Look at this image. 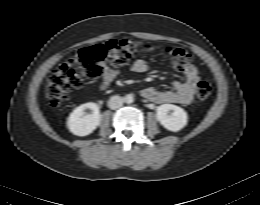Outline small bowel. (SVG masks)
<instances>
[{"instance_id":"obj_1","label":"small bowel","mask_w":260,"mask_h":205,"mask_svg":"<svg viewBox=\"0 0 260 205\" xmlns=\"http://www.w3.org/2000/svg\"><path fill=\"white\" fill-rule=\"evenodd\" d=\"M131 70L135 73H144L148 70V65L146 61L138 59L132 64ZM182 71L185 75V79L183 81H173L171 89L157 90L153 87H146L142 89L141 95L145 99L158 104H191L194 99L196 85L199 82L198 69L195 65L188 64ZM119 73L120 70L117 67L104 64L99 88L101 90H107Z\"/></svg>"}]
</instances>
